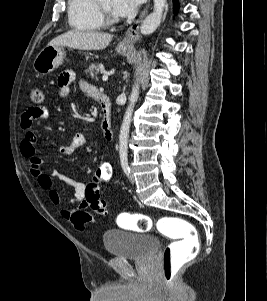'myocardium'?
<instances>
[{
	"instance_id": "1",
	"label": "myocardium",
	"mask_w": 267,
	"mask_h": 301,
	"mask_svg": "<svg viewBox=\"0 0 267 301\" xmlns=\"http://www.w3.org/2000/svg\"><path fill=\"white\" fill-rule=\"evenodd\" d=\"M96 6H97V10L99 13V16L101 18V20L103 21V23L107 24V25H114L118 23V20L111 16L107 10H105L101 4H100V0H96Z\"/></svg>"
}]
</instances>
